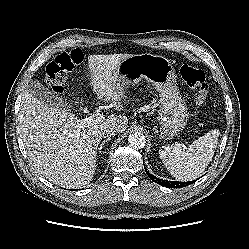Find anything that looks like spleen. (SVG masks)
Masks as SVG:
<instances>
[{
  "instance_id": "3e777b00",
  "label": "spleen",
  "mask_w": 249,
  "mask_h": 249,
  "mask_svg": "<svg viewBox=\"0 0 249 249\" xmlns=\"http://www.w3.org/2000/svg\"><path fill=\"white\" fill-rule=\"evenodd\" d=\"M218 138L219 131L211 130L186 149L181 144L163 145L159 156L173 177L190 181L199 177L212 161Z\"/></svg>"
}]
</instances>
